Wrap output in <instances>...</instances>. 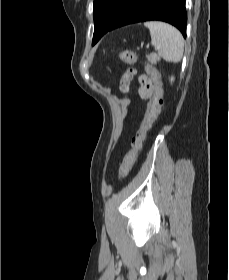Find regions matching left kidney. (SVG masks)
I'll use <instances>...</instances> for the list:
<instances>
[{
    "instance_id": "left-kidney-1",
    "label": "left kidney",
    "mask_w": 229,
    "mask_h": 280,
    "mask_svg": "<svg viewBox=\"0 0 229 280\" xmlns=\"http://www.w3.org/2000/svg\"><path fill=\"white\" fill-rule=\"evenodd\" d=\"M170 80H171V82H172V81L174 80V78H173V77H171V79H170Z\"/></svg>"
}]
</instances>
